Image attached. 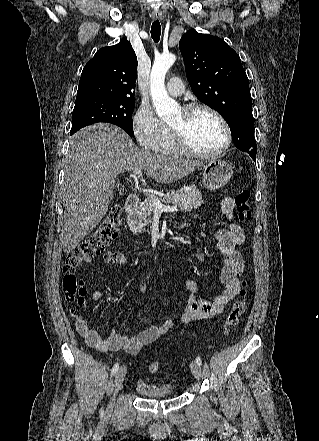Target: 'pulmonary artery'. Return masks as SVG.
I'll return each mask as SVG.
<instances>
[{"instance_id":"1","label":"pulmonary artery","mask_w":319,"mask_h":441,"mask_svg":"<svg viewBox=\"0 0 319 441\" xmlns=\"http://www.w3.org/2000/svg\"><path fill=\"white\" fill-rule=\"evenodd\" d=\"M167 92L174 97H179L184 92V86L180 78H171L167 83Z\"/></svg>"}]
</instances>
